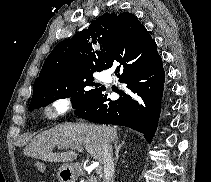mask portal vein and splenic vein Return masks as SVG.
Wrapping results in <instances>:
<instances>
[{
    "mask_svg": "<svg viewBox=\"0 0 211 182\" xmlns=\"http://www.w3.org/2000/svg\"><path fill=\"white\" fill-rule=\"evenodd\" d=\"M72 149H75V150H78L79 152H82L83 151V148L82 147H73ZM101 167L99 166V164H97V167H96V173L97 174H100L101 173Z\"/></svg>",
    "mask_w": 211,
    "mask_h": 182,
    "instance_id": "18ae733b",
    "label": "portal vein and splenic vein"
}]
</instances>
